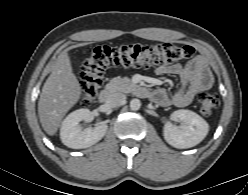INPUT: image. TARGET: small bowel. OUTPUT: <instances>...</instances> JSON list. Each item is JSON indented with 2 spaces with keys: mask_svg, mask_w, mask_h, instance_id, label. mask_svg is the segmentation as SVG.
Here are the masks:
<instances>
[{
  "mask_svg": "<svg viewBox=\"0 0 248 195\" xmlns=\"http://www.w3.org/2000/svg\"><path fill=\"white\" fill-rule=\"evenodd\" d=\"M156 73L176 75L180 79V88L173 95H168L163 89L152 92V99L161 106L185 107L213 84V76L201 57H196L186 64L159 66Z\"/></svg>",
  "mask_w": 248,
  "mask_h": 195,
  "instance_id": "obj_1",
  "label": "small bowel"
}]
</instances>
